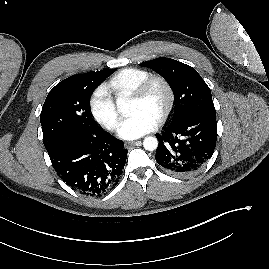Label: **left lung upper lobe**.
Returning <instances> with one entry per match:
<instances>
[{"instance_id":"left-lung-upper-lobe-1","label":"left lung upper lobe","mask_w":269,"mask_h":269,"mask_svg":"<svg viewBox=\"0 0 269 269\" xmlns=\"http://www.w3.org/2000/svg\"><path fill=\"white\" fill-rule=\"evenodd\" d=\"M140 65L156 71L170 84L175 97L171 123L194 114H216L209 87L191 66L170 58H158Z\"/></svg>"}]
</instances>
